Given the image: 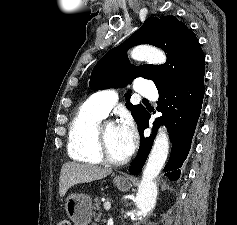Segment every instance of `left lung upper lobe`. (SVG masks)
Segmentation results:
<instances>
[{"label":"left lung upper lobe","mask_w":237,"mask_h":225,"mask_svg":"<svg viewBox=\"0 0 237 225\" xmlns=\"http://www.w3.org/2000/svg\"><path fill=\"white\" fill-rule=\"evenodd\" d=\"M138 44H151L167 53L163 65L130 64L126 51ZM205 73V57L197 37L174 16L149 17L122 45L110 50L94 67L89 86L93 90L118 88L136 77L153 80L158 91L179 88ZM127 100L130 94H125ZM138 124L146 111L142 105L127 102Z\"/></svg>","instance_id":"5c2ea615"}]
</instances>
